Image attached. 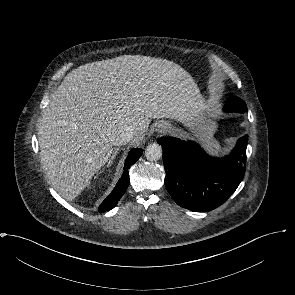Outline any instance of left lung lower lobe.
I'll return each mask as SVG.
<instances>
[{
    "instance_id": "0a47b994",
    "label": "left lung lower lobe",
    "mask_w": 295,
    "mask_h": 295,
    "mask_svg": "<svg viewBox=\"0 0 295 295\" xmlns=\"http://www.w3.org/2000/svg\"><path fill=\"white\" fill-rule=\"evenodd\" d=\"M157 142L163 148L165 186L183 208L197 212L217 208L234 193L244 177L247 135L224 158L210 157L192 141L164 137Z\"/></svg>"
}]
</instances>
